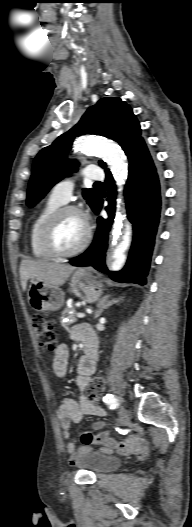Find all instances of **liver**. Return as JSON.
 <instances>
[{
  "instance_id": "liver-1",
  "label": "liver",
  "mask_w": 192,
  "mask_h": 527,
  "mask_svg": "<svg viewBox=\"0 0 192 527\" xmlns=\"http://www.w3.org/2000/svg\"><path fill=\"white\" fill-rule=\"evenodd\" d=\"M76 268L67 264H58L45 260L24 259L20 264L22 289L27 288L29 279L45 282L55 288L63 285Z\"/></svg>"
}]
</instances>
